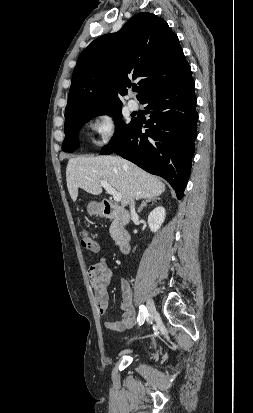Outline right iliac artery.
I'll list each match as a JSON object with an SVG mask.
<instances>
[{
	"mask_svg": "<svg viewBox=\"0 0 253 413\" xmlns=\"http://www.w3.org/2000/svg\"><path fill=\"white\" fill-rule=\"evenodd\" d=\"M139 310V316L137 318V321L139 323V325H142L145 321V317L146 315L148 316V311L147 308L144 305H141Z\"/></svg>",
	"mask_w": 253,
	"mask_h": 413,
	"instance_id": "right-iliac-artery-1",
	"label": "right iliac artery"
}]
</instances>
